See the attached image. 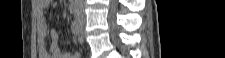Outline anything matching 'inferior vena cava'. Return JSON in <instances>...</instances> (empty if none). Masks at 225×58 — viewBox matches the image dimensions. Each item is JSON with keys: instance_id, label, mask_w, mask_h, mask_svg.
<instances>
[{"instance_id": "inferior-vena-cava-1", "label": "inferior vena cava", "mask_w": 225, "mask_h": 58, "mask_svg": "<svg viewBox=\"0 0 225 58\" xmlns=\"http://www.w3.org/2000/svg\"><path fill=\"white\" fill-rule=\"evenodd\" d=\"M77 15L83 20L84 19V12L82 9V1H79V5H78V10H77Z\"/></svg>"}]
</instances>
